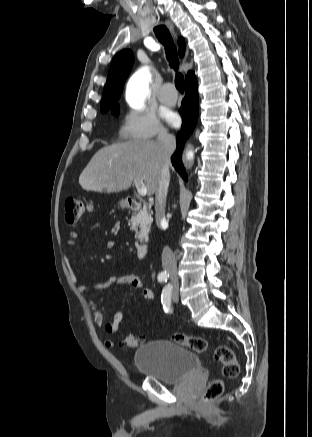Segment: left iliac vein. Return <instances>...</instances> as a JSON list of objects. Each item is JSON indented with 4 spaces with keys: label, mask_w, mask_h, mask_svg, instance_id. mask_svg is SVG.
<instances>
[{
    "label": "left iliac vein",
    "mask_w": 312,
    "mask_h": 437,
    "mask_svg": "<svg viewBox=\"0 0 312 437\" xmlns=\"http://www.w3.org/2000/svg\"><path fill=\"white\" fill-rule=\"evenodd\" d=\"M172 300H173L174 302H177V301H178V290H177V289H175V290L173 291V294H172Z\"/></svg>",
    "instance_id": "left-iliac-vein-1"
}]
</instances>
